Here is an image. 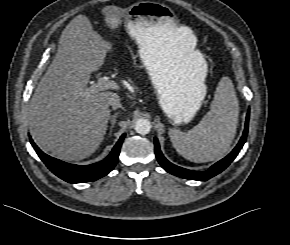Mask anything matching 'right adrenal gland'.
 Segmentation results:
<instances>
[{
	"label": "right adrenal gland",
	"mask_w": 290,
	"mask_h": 245,
	"mask_svg": "<svg viewBox=\"0 0 290 245\" xmlns=\"http://www.w3.org/2000/svg\"><path fill=\"white\" fill-rule=\"evenodd\" d=\"M110 121H111V129H112L114 127L115 122H116V114L111 116Z\"/></svg>",
	"instance_id": "obj_1"
}]
</instances>
